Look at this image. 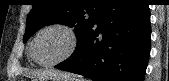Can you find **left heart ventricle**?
Returning <instances> with one entry per match:
<instances>
[{"mask_svg": "<svg viewBox=\"0 0 169 81\" xmlns=\"http://www.w3.org/2000/svg\"><path fill=\"white\" fill-rule=\"evenodd\" d=\"M70 39L61 30L42 33L35 43V56L41 63H51L61 58L69 49Z\"/></svg>", "mask_w": 169, "mask_h": 81, "instance_id": "left-heart-ventricle-1", "label": "left heart ventricle"}]
</instances>
